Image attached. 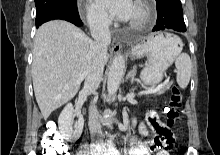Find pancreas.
<instances>
[{
    "instance_id": "cf45deb5",
    "label": "pancreas",
    "mask_w": 220,
    "mask_h": 155,
    "mask_svg": "<svg viewBox=\"0 0 220 155\" xmlns=\"http://www.w3.org/2000/svg\"><path fill=\"white\" fill-rule=\"evenodd\" d=\"M171 84H167L165 86H163L160 90H158L156 93L157 95H161L164 94L166 90H168L170 88Z\"/></svg>"
}]
</instances>
